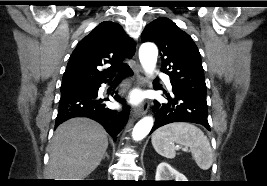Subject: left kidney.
I'll use <instances>...</instances> for the list:
<instances>
[{"mask_svg":"<svg viewBox=\"0 0 267 186\" xmlns=\"http://www.w3.org/2000/svg\"><path fill=\"white\" fill-rule=\"evenodd\" d=\"M155 181H187V179L168 163L161 162L156 169Z\"/></svg>","mask_w":267,"mask_h":186,"instance_id":"1","label":"left kidney"}]
</instances>
